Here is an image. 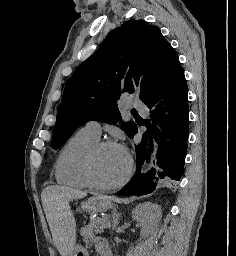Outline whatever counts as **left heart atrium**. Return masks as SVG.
Segmentation results:
<instances>
[{"mask_svg": "<svg viewBox=\"0 0 236 256\" xmlns=\"http://www.w3.org/2000/svg\"><path fill=\"white\" fill-rule=\"evenodd\" d=\"M115 147L123 154L127 155V148L122 142H118Z\"/></svg>", "mask_w": 236, "mask_h": 256, "instance_id": "left-heart-atrium-1", "label": "left heart atrium"}]
</instances>
